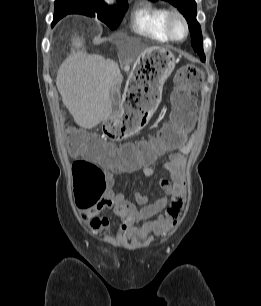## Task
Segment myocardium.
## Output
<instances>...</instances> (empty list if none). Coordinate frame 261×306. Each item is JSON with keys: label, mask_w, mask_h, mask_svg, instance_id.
Listing matches in <instances>:
<instances>
[{"label": "myocardium", "mask_w": 261, "mask_h": 306, "mask_svg": "<svg viewBox=\"0 0 261 306\" xmlns=\"http://www.w3.org/2000/svg\"><path fill=\"white\" fill-rule=\"evenodd\" d=\"M176 22L180 23L184 30V35L181 38H178L174 34V24ZM166 30L171 40H174V41H183L189 35V26H188L187 20L179 11L169 12L166 18Z\"/></svg>", "instance_id": "obj_1"}]
</instances>
